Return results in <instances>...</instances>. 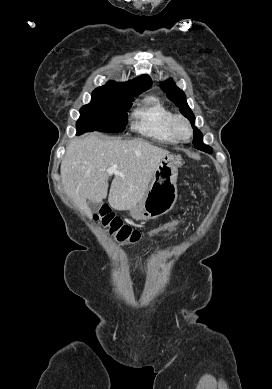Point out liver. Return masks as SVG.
<instances>
[{
    "label": "liver",
    "mask_w": 272,
    "mask_h": 389,
    "mask_svg": "<svg viewBox=\"0 0 272 389\" xmlns=\"http://www.w3.org/2000/svg\"><path fill=\"white\" fill-rule=\"evenodd\" d=\"M169 155L165 149L144 139H107L90 133L70 141L61 163L65 193L75 205L89 214L88 201L101 202L107 197V169L118 166L108 196L115 210H129L145 196L160 161Z\"/></svg>",
    "instance_id": "6515ba94"
}]
</instances>
